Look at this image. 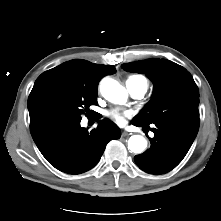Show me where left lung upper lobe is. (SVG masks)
I'll list each match as a JSON object with an SVG mask.
<instances>
[{
	"label": "left lung upper lobe",
	"instance_id": "1",
	"mask_svg": "<svg viewBox=\"0 0 221 221\" xmlns=\"http://www.w3.org/2000/svg\"><path fill=\"white\" fill-rule=\"evenodd\" d=\"M122 68L146 74L154 83L151 101L133 120L144 125L163 120L199 121L198 87L184 67L166 59H148Z\"/></svg>",
	"mask_w": 221,
	"mask_h": 221
}]
</instances>
